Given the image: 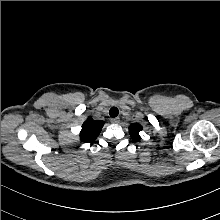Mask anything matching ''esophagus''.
I'll list each match as a JSON object with an SVG mask.
<instances>
[{
    "mask_svg": "<svg viewBox=\"0 0 220 220\" xmlns=\"http://www.w3.org/2000/svg\"><path fill=\"white\" fill-rule=\"evenodd\" d=\"M120 122V119L118 117H115V118H111V123L113 124H117Z\"/></svg>",
    "mask_w": 220,
    "mask_h": 220,
    "instance_id": "34e87169",
    "label": "esophagus"
}]
</instances>
